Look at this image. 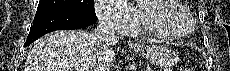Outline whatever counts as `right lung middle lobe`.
<instances>
[{
    "instance_id": "1",
    "label": "right lung middle lobe",
    "mask_w": 230,
    "mask_h": 71,
    "mask_svg": "<svg viewBox=\"0 0 230 71\" xmlns=\"http://www.w3.org/2000/svg\"><path fill=\"white\" fill-rule=\"evenodd\" d=\"M48 11H72L96 17L94 0H40L36 14Z\"/></svg>"
}]
</instances>
